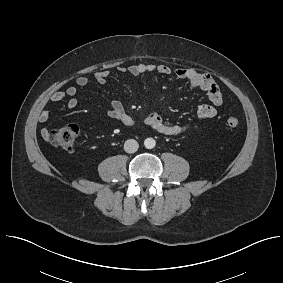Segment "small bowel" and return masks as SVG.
I'll return each mask as SVG.
<instances>
[{
	"label": "small bowel",
	"instance_id": "c3829d8e",
	"mask_svg": "<svg viewBox=\"0 0 283 283\" xmlns=\"http://www.w3.org/2000/svg\"><path fill=\"white\" fill-rule=\"evenodd\" d=\"M120 74H130L133 77H139L143 75H174L179 80H184L188 83L192 89H199L206 92L208 101L201 104L197 109V117L201 120L210 119L217 115L218 106L223 104V95L216 80L208 73H201L193 68L180 67L172 69L170 66L165 64H136L131 66H123L118 68ZM110 76L109 71H99L94 74V79L99 84H105L108 77ZM89 83V78L86 76H80L76 80L78 87H84ZM77 86H69L66 90L55 91L50 96V101L61 102L66 96L71 97L67 103L68 108H75L78 105V99L75 97L78 92ZM109 117L121 122L125 126L134 127L136 126L135 119L130 116L124 109V106L119 101L111 103L108 110ZM50 118V112L48 109L41 110L39 114V120L46 122ZM146 125L154 129L155 131L168 135L178 136L189 129L187 124H175L169 123L163 119V117L157 112H150L144 118ZM42 134L47 135L48 130L42 129Z\"/></svg>",
	"mask_w": 283,
	"mask_h": 283
}]
</instances>
